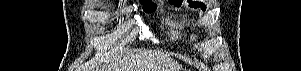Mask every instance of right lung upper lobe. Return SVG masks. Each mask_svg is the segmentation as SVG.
<instances>
[{
  "mask_svg": "<svg viewBox=\"0 0 301 71\" xmlns=\"http://www.w3.org/2000/svg\"><path fill=\"white\" fill-rule=\"evenodd\" d=\"M141 3L142 4H147V5H156L151 0H141Z\"/></svg>",
  "mask_w": 301,
  "mask_h": 71,
  "instance_id": "1",
  "label": "right lung upper lobe"
}]
</instances>
